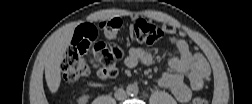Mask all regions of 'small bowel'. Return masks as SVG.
I'll return each instance as SVG.
<instances>
[{
    "label": "small bowel",
    "instance_id": "c3829d8e",
    "mask_svg": "<svg viewBox=\"0 0 252 104\" xmlns=\"http://www.w3.org/2000/svg\"><path fill=\"white\" fill-rule=\"evenodd\" d=\"M169 42L176 48V54L168 59L171 71L160 75L156 83L162 88L169 89L178 101L188 102L192 92L200 90L209 80L210 67L202 55L190 51L185 40L173 36ZM123 61L128 68H133L139 63L150 65L153 62V55L148 47H134L130 49ZM89 63L96 69L99 80L109 79L106 69L97 56L90 58Z\"/></svg>",
    "mask_w": 252,
    "mask_h": 104
}]
</instances>
